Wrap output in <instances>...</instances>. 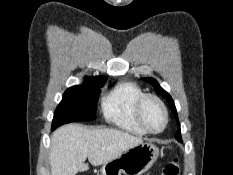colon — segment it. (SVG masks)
Masks as SVG:
<instances>
[{
    "label": "colon",
    "mask_w": 233,
    "mask_h": 175,
    "mask_svg": "<svg viewBox=\"0 0 233 175\" xmlns=\"http://www.w3.org/2000/svg\"><path fill=\"white\" fill-rule=\"evenodd\" d=\"M161 175H180L179 160L174 158L168 162L163 168Z\"/></svg>",
    "instance_id": "5ec220e1"
}]
</instances>
